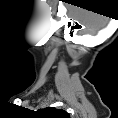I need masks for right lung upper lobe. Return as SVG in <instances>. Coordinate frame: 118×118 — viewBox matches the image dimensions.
Instances as JSON below:
<instances>
[{"mask_svg": "<svg viewBox=\"0 0 118 118\" xmlns=\"http://www.w3.org/2000/svg\"><path fill=\"white\" fill-rule=\"evenodd\" d=\"M47 111H50V112H56V111H58V110L55 109V108H48ZM59 111H62V110H59Z\"/></svg>", "mask_w": 118, "mask_h": 118, "instance_id": "obj_1", "label": "right lung upper lobe"}]
</instances>
